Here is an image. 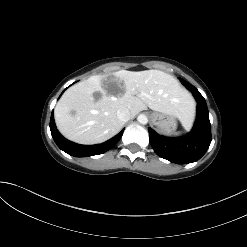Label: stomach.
<instances>
[{"instance_id": "stomach-1", "label": "stomach", "mask_w": 247, "mask_h": 247, "mask_svg": "<svg viewBox=\"0 0 247 247\" xmlns=\"http://www.w3.org/2000/svg\"><path fill=\"white\" fill-rule=\"evenodd\" d=\"M152 122L161 132L166 134L174 132L177 128L176 117L160 112L152 113Z\"/></svg>"}]
</instances>
